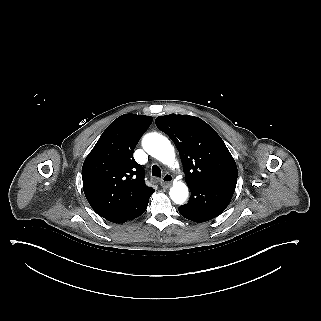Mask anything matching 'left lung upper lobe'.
Listing matches in <instances>:
<instances>
[{"label":"left lung upper lobe","mask_w":321,"mask_h":321,"mask_svg":"<svg viewBox=\"0 0 321 321\" xmlns=\"http://www.w3.org/2000/svg\"><path fill=\"white\" fill-rule=\"evenodd\" d=\"M155 123L175 143L187 184L237 180V166L217 132L198 117L170 114Z\"/></svg>","instance_id":"1"}]
</instances>
